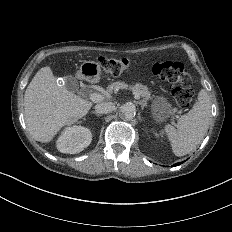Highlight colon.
<instances>
[{
	"label": "colon",
	"instance_id": "colon-1",
	"mask_svg": "<svg viewBox=\"0 0 232 232\" xmlns=\"http://www.w3.org/2000/svg\"><path fill=\"white\" fill-rule=\"evenodd\" d=\"M97 66L103 68L104 73L112 75H123L130 68V63L122 56H99L95 62ZM154 72L158 76H165L166 82H175L179 87V94L176 95L175 111H192V101L196 86L191 82L192 75L187 72V66L183 62H159L154 67Z\"/></svg>",
	"mask_w": 232,
	"mask_h": 232
}]
</instances>
